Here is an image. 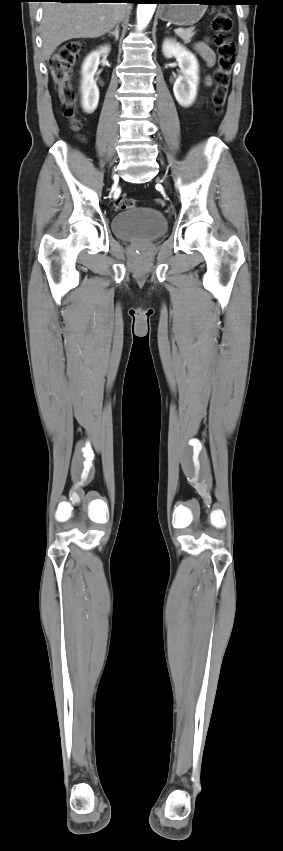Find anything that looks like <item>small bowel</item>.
<instances>
[{
  "label": "small bowel",
  "mask_w": 283,
  "mask_h": 851,
  "mask_svg": "<svg viewBox=\"0 0 283 851\" xmlns=\"http://www.w3.org/2000/svg\"><path fill=\"white\" fill-rule=\"evenodd\" d=\"M195 49L205 61L208 67L214 66L215 54L207 41H199L195 44ZM207 84H210V78L207 79Z\"/></svg>",
  "instance_id": "1"
}]
</instances>
